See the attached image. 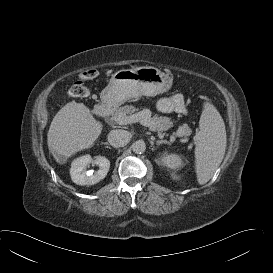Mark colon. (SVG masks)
Returning <instances> with one entry per match:
<instances>
[{"label": "colon", "mask_w": 273, "mask_h": 273, "mask_svg": "<svg viewBox=\"0 0 273 273\" xmlns=\"http://www.w3.org/2000/svg\"><path fill=\"white\" fill-rule=\"evenodd\" d=\"M97 76V70L88 69L81 74L82 81H77L70 87V93L75 97H85L88 95V89L85 87L83 81L93 79Z\"/></svg>", "instance_id": "obj_1"}]
</instances>
